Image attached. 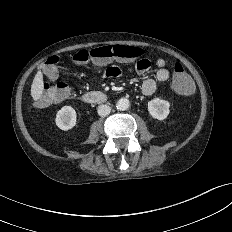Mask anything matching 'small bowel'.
<instances>
[{
    "instance_id": "1",
    "label": "small bowel",
    "mask_w": 232,
    "mask_h": 232,
    "mask_svg": "<svg viewBox=\"0 0 232 232\" xmlns=\"http://www.w3.org/2000/svg\"><path fill=\"white\" fill-rule=\"evenodd\" d=\"M157 66V72L155 75V79L153 78H146L142 85H141V93L144 96H150L152 95L157 88V81L158 82H165L170 77V72L166 68V62L163 58H158L155 62ZM151 67V62L149 59H141L137 62L136 66L134 68H124L121 65H112L107 67L103 72V78H113L121 76L124 72L131 73L133 71H136L139 74H143L147 72ZM57 77L54 78V80Z\"/></svg>"
}]
</instances>
